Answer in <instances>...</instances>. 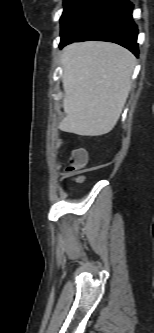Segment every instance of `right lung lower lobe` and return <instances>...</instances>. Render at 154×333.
Wrapping results in <instances>:
<instances>
[{
    "mask_svg": "<svg viewBox=\"0 0 154 333\" xmlns=\"http://www.w3.org/2000/svg\"><path fill=\"white\" fill-rule=\"evenodd\" d=\"M132 10L133 4L128 0H101L79 27L61 39L60 47L75 41H109L138 56V30L132 19Z\"/></svg>",
    "mask_w": 154,
    "mask_h": 333,
    "instance_id": "98d812e1",
    "label": "right lung lower lobe"
}]
</instances>
